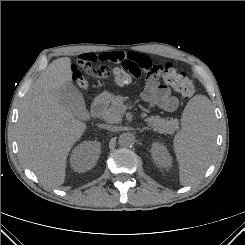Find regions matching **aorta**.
Instances as JSON below:
<instances>
[{"mask_svg":"<svg viewBox=\"0 0 245 245\" xmlns=\"http://www.w3.org/2000/svg\"><path fill=\"white\" fill-rule=\"evenodd\" d=\"M118 143L122 147H132L135 143V136L130 132L122 133L119 136Z\"/></svg>","mask_w":245,"mask_h":245,"instance_id":"762f6f07","label":"aorta"}]
</instances>
